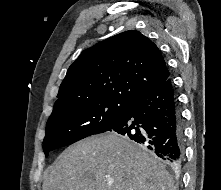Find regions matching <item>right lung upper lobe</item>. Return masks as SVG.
I'll return each mask as SVG.
<instances>
[{"label": "right lung upper lobe", "mask_w": 221, "mask_h": 190, "mask_svg": "<svg viewBox=\"0 0 221 190\" xmlns=\"http://www.w3.org/2000/svg\"><path fill=\"white\" fill-rule=\"evenodd\" d=\"M169 77L158 47L136 30L125 31L80 54L60 85L53 111L101 99L130 102Z\"/></svg>", "instance_id": "1"}]
</instances>
